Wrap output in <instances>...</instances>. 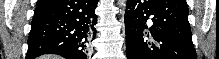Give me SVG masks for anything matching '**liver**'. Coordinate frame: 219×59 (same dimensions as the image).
Wrapping results in <instances>:
<instances>
[{
  "mask_svg": "<svg viewBox=\"0 0 219 59\" xmlns=\"http://www.w3.org/2000/svg\"><path fill=\"white\" fill-rule=\"evenodd\" d=\"M39 59H61L60 56L57 55H44L41 56Z\"/></svg>",
  "mask_w": 219,
  "mask_h": 59,
  "instance_id": "1",
  "label": "liver"
}]
</instances>
